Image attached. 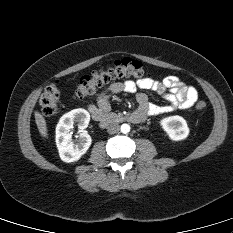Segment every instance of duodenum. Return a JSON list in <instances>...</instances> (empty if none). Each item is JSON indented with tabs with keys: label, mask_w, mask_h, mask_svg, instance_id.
<instances>
[{
	"label": "duodenum",
	"mask_w": 233,
	"mask_h": 233,
	"mask_svg": "<svg viewBox=\"0 0 233 233\" xmlns=\"http://www.w3.org/2000/svg\"><path fill=\"white\" fill-rule=\"evenodd\" d=\"M145 119V115L139 111H135L126 116H117V115H110V114H103L101 115L98 120L102 127L108 126L111 123L117 121H128L131 123H142Z\"/></svg>",
	"instance_id": "obj_1"
}]
</instances>
